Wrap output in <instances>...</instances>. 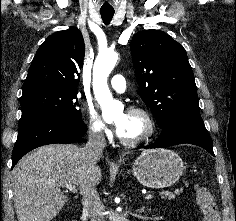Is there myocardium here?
<instances>
[{
    "mask_svg": "<svg viewBox=\"0 0 236 221\" xmlns=\"http://www.w3.org/2000/svg\"><path fill=\"white\" fill-rule=\"evenodd\" d=\"M127 113L137 114L143 117L146 122L147 129L142 136L135 139H125L118 135L120 142L126 146H137L149 141L155 135L157 130L156 121L152 114L147 109L138 106L130 107Z\"/></svg>",
    "mask_w": 236,
    "mask_h": 221,
    "instance_id": "f54148a6",
    "label": "myocardium"
}]
</instances>
